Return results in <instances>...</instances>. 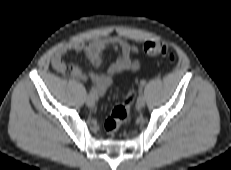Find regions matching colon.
Returning a JSON list of instances; mask_svg holds the SVG:
<instances>
[{
	"label": "colon",
	"instance_id": "colon-1",
	"mask_svg": "<svg viewBox=\"0 0 231 170\" xmlns=\"http://www.w3.org/2000/svg\"><path fill=\"white\" fill-rule=\"evenodd\" d=\"M145 53L151 56H164L168 61L175 60V54L169 50L168 46L161 41H147L144 44ZM134 101V92L132 91L122 105L116 106L110 116L105 120L104 128L106 132L114 134L119 127L130 119V108Z\"/></svg>",
	"mask_w": 231,
	"mask_h": 170
}]
</instances>
